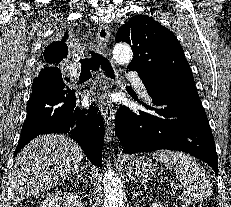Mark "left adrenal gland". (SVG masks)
<instances>
[{
	"instance_id": "1",
	"label": "left adrenal gland",
	"mask_w": 231,
	"mask_h": 207,
	"mask_svg": "<svg viewBox=\"0 0 231 207\" xmlns=\"http://www.w3.org/2000/svg\"><path fill=\"white\" fill-rule=\"evenodd\" d=\"M138 194H139V193L136 192V190L133 191V196H132L133 200L136 198V196H137Z\"/></svg>"
}]
</instances>
